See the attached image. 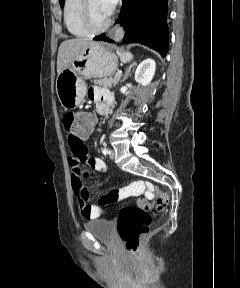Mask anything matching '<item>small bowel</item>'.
<instances>
[{"mask_svg": "<svg viewBox=\"0 0 240 288\" xmlns=\"http://www.w3.org/2000/svg\"><path fill=\"white\" fill-rule=\"evenodd\" d=\"M88 98L94 102L96 110L100 114H105L113 104L112 94L105 88L91 87L87 92ZM88 134L76 138L68 137L69 146L73 152V156L69 158V166L71 169L72 187L77 199V204L82 216L87 220L99 218L104 214L101 206L92 202L93 190L86 186L84 180L88 175L86 168L96 171L107 172L106 163L98 157H91L84 144V140ZM133 186L125 187L120 192V198L128 196L133 190Z\"/></svg>", "mask_w": 240, "mask_h": 288, "instance_id": "c3829d8e", "label": "small bowel"}]
</instances>
